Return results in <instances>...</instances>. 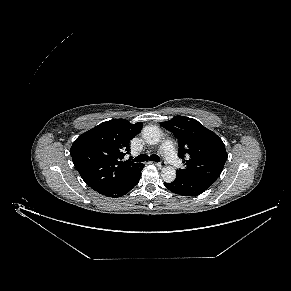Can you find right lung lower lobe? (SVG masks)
I'll return each instance as SVG.
<instances>
[{"label":"right lung lower lobe","instance_id":"obj_1","mask_svg":"<svg viewBox=\"0 0 291 291\" xmlns=\"http://www.w3.org/2000/svg\"><path fill=\"white\" fill-rule=\"evenodd\" d=\"M144 165L142 164L136 171L135 173L124 179L123 181H121L120 183L110 186V187H106V188H102V189H98L96 190L98 193L108 196V197H121L123 195H125L126 193H128L136 184H138L139 179L141 177V171L143 169Z\"/></svg>","mask_w":291,"mask_h":291}]
</instances>
